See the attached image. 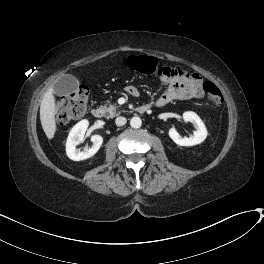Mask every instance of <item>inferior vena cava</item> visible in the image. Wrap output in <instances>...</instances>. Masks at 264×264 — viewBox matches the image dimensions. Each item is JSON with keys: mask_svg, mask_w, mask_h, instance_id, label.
<instances>
[{"mask_svg": "<svg viewBox=\"0 0 264 264\" xmlns=\"http://www.w3.org/2000/svg\"><path fill=\"white\" fill-rule=\"evenodd\" d=\"M126 122H127V119L125 117H122V116L117 117L115 119V123H116L117 126H123V125L126 124Z\"/></svg>", "mask_w": 264, "mask_h": 264, "instance_id": "602c4592", "label": "inferior vena cava"}]
</instances>
